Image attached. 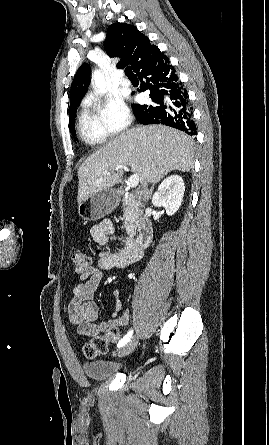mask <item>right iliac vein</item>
I'll use <instances>...</instances> for the list:
<instances>
[{
  "mask_svg": "<svg viewBox=\"0 0 269 445\" xmlns=\"http://www.w3.org/2000/svg\"><path fill=\"white\" fill-rule=\"evenodd\" d=\"M138 340L136 338H133L128 343H126L121 349H119L117 355L119 357H124L129 355L137 346Z\"/></svg>",
  "mask_w": 269,
  "mask_h": 445,
  "instance_id": "obj_1",
  "label": "right iliac vein"
}]
</instances>
